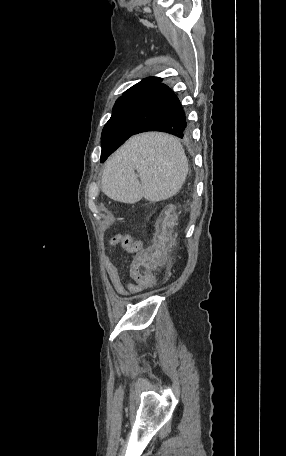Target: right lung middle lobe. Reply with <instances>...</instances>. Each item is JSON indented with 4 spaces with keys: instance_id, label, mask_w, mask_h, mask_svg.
I'll return each mask as SVG.
<instances>
[{
    "instance_id": "1",
    "label": "right lung middle lobe",
    "mask_w": 286,
    "mask_h": 456,
    "mask_svg": "<svg viewBox=\"0 0 286 456\" xmlns=\"http://www.w3.org/2000/svg\"><path fill=\"white\" fill-rule=\"evenodd\" d=\"M130 129L124 114V103L117 100L109 121L103 128L101 136V162L113 153L125 140L129 138Z\"/></svg>"
}]
</instances>
